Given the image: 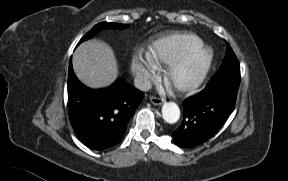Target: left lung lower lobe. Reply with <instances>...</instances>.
<instances>
[{
	"label": "left lung lower lobe",
	"mask_w": 288,
	"mask_h": 181,
	"mask_svg": "<svg viewBox=\"0 0 288 181\" xmlns=\"http://www.w3.org/2000/svg\"><path fill=\"white\" fill-rule=\"evenodd\" d=\"M237 94L206 87L183 102L184 118L173 132L174 142L182 148L200 145L213 137L232 113Z\"/></svg>",
	"instance_id": "left-lung-lower-lobe-1"
}]
</instances>
